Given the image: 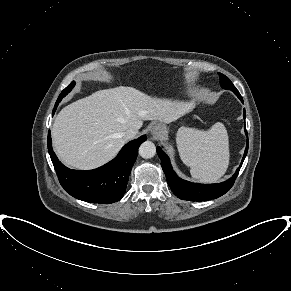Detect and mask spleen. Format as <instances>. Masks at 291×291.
I'll use <instances>...</instances> for the list:
<instances>
[{
	"label": "spleen",
	"mask_w": 291,
	"mask_h": 291,
	"mask_svg": "<svg viewBox=\"0 0 291 291\" xmlns=\"http://www.w3.org/2000/svg\"><path fill=\"white\" fill-rule=\"evenodd\" d=\"M176 142L180 158L190 167L193 178L205 183L215 182L227 171L229 138L222 123L214 124L209 131L181 128Z\"/></svg>",
	"instance_id": "1"
}]
</instances>
